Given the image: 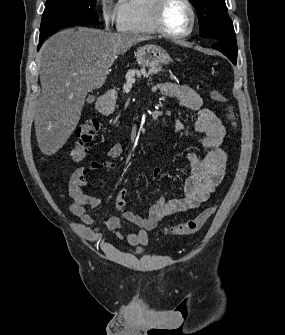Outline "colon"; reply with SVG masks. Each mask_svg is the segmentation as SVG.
<instances>
[{"label":"colon","instance_id":"1","mask_svg":"<svg viewBox=\"0 0 285 335\" xmlns=\"http://www.w3.org/2000/svg\"><path fill=\"white\" fill-rule=\"evenodd\" d=\"M209 94L215 102L223 103L226 101L223 93L216 89H210ZM227 117L231 124L235 127L237 124V114L232 107L227 109ZM98 130L99 123L95 119L85 120L78 126L75 133V146L71 151V156L75 162H80L84 158L86 153L85 144L91 142L95 138ZM215 212L216 207L209 206L194 218L170 227L168 231L178 235L194 234L206 224Z\"/></svg>","mask_w":285,"mask_h":335}]
</instances>
